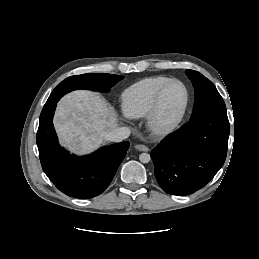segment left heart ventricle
<instances>
[{
    "instance_id": "left-heart-ventricle-1",
    "label": "left heart ventricle",
    "mask_w": 259,
    "mask_h": 259,
    "mask_svg": "<svg viewBox=\"0 0 259 259\" xmlns=\"http://www.w3.org/2000/svg\"><path fill=\"white\" fill-rule=\"evenodd\" d=\"M185 101L184 88L178 83H171L162 94L159 119L163 123L172 121L179 114Z\"/></svg>"
}]
</instances>
